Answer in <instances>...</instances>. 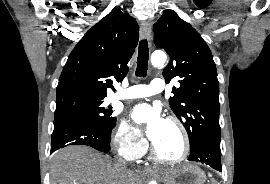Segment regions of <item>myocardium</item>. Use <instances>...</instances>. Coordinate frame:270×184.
<instances>
[{
  "label": "myocardium",
  "mask_w": 270,
  "mask_h": 184,
  "mask_svg": "<svg viewBox=\"0 0 270 184\" xmlns=\"http://www.w3.org/2000/svg\"><path fill=\"white\" fill-rule=\"evenodd\" d=\"M166 121L174 124L177 127V129L179 130L181 138H182V152L178 157H176L174 159H168V158L162 157L159 154V152L154 144H152V146H151V151H152L153 157L157 161L164 163V164H168V165H177V164H180L183 161H185L186 158L188 157L189 152H190V139H189L187 129L180 119H178L177 117H174V116H170L167 118Z\"/></svg>",
  "instance_id": "myocardium-1"
}]
</instances>
